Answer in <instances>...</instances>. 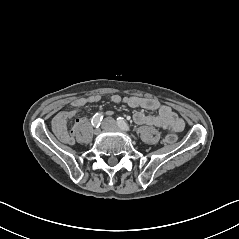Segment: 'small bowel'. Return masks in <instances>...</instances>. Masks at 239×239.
<instances>
[{
	"mask_svg": "<svg viewBox=\"0 0 239 239\" xmlns=\"http://www.w3.org/2000/svg\"><path fill=\"white\" fill-rule=\"evenodd\" d=\"M101 100L100 95H90L79 98L72 102V109L59 112L53 120L52 127L56 136L64 143L73 144L77 131H68V121H73L75 126L85 123L84 118H75L76 112L86 105L97 103ZM114 103L123 102L131 108H142L157 111L155 115H147L142 111H137L133 115V120L139 125H150L161 127L173 133H178L184 128V121L168 105L160 103L157 99L149 97H121L118 94L111 96Z\"/></svg>",
	"mask_w": 239,
	"mask_h": 239,
	"instance_id": "c3829d8e",
	"label": "small bowel"
}]
</instances>
